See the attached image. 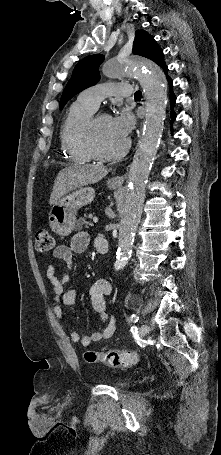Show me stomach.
Returning <instances> with one entry per match:
<instances>
[{
  "label": "stomach",
  "mask_w": 221,
  "mask_h": 455,
  "mask_svg": "<svg viewBox=\"0 0 221 455\" xmlns=\"http://www.w3.org/2000/svg\"><path fill=\"white\" fill-rule=\"evenodd\" d=\"M109 188L117 184L107 181ZM95 190L92 187H79L71 193L61 197L52 205L49 212V225L53 232L59 236H68L74 229L76 213L79 208L93 201Z\"/></svg>",
  "instance_id": "obj_1"
}]
</instances>
